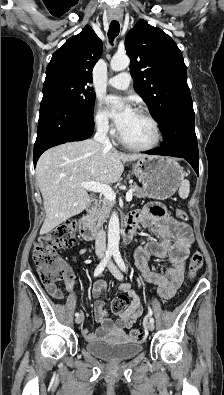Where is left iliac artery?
<instances>
[{"label": "left iliac artery", "instance_id": "left-iliac-artery-1", "mask_svg": "<svg viewBox=\"0 0 224 395\" xmlns=\"http://www.w3.org/2000/svg\"><path fill=\"white\" fill-rule=\"evenodd\" d=\"M113 256H114L115 262L118 265V267L122 271L126 272L127 268H126V265H125V263H124V261H123V259L121 257V254H120L119 250L113 251ZM148 317H149L151 322H154V319L152 317V310L150 308L148 309Z\"/></svg>", "mask_w": 224, "mask_h": 395}]
</instances>
